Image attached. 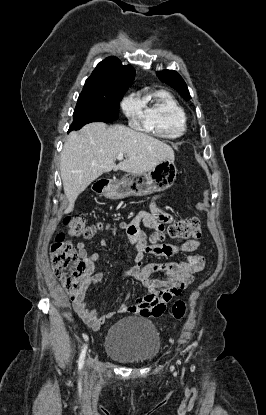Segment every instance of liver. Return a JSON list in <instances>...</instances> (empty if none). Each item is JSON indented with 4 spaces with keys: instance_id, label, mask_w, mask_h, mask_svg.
<instances>
[{
    "instance_id": "6515ba94",
    "label": "liver",
    "mask_w": 266,
    "mask_h": 415,
    "mask_svg": "<svg viewBox=\"0 0 266 415\" xmlns=\"http://www.w3.org/2000/svg\"><path fill=\"white\" fill-rule=\"evenodd\" d=\"M120 153L126 159L116 165ZM164 160L174 161L169 145L124 125L108 127L96 122L71 132L60 158V175L69 202L65 214L73 211L79 194L103 173L121 170L143 174Z\"/></svg>"
}]
</instances>
